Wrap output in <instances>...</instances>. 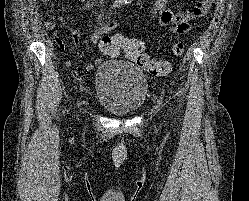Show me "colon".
<instances>
[{
	"mask_svg": "<svg viewBox=\"0 0 249 201\" xmlns=\"http://www.w3.org/2000/svg\"><path fill=\"white\" fill-rule=\"evenodd\" d=\"M99 47L107 57L117 56L122 51L128 59L155 76L167 75L171 70L168 61L152 59L146 53L144 43L136 38H125L119 35L104 36L99 41ZM184 51L183 42H176L172 47V53L175 56L183 55Z\"/></svg>",
	"mask_w": 249,
	"mask_h": 201,
	"instance_id": "1",
	"label": "colon"
}]
</instances>
